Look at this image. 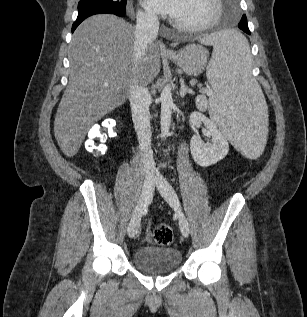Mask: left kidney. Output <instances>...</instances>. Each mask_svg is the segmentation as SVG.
Listing matches in <instances>:
<instances>
[{
  "label": "left kidney",
  "mask_w": 307,
  "mask_h": 317,
  "mask_svg": "<svg viewBox=\"0 0 307 317\" xmlns=\"http://www.w3.org/2000/svg\"><path fill=\"white\" fill-rule=\"evenodd\" d=\"M190 123L200 127L203 123L212 136V143L205 144L198 135H193L190 142L191 155L200 166H210L223 159L229 151V144L225 136L216 125L202 112L194 111L190 115Z\"/></svg>",
  "instance_id": "left-kidney-1"
}]
</instances>
